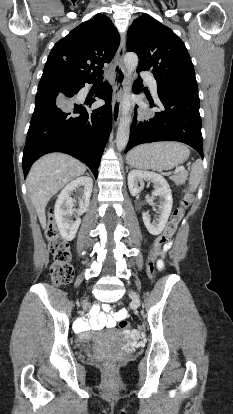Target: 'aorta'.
I'll use <instances>...</instances> for the list:
<instances>
[{"label":"aorta","mask_w":233,"mask_h":414,"mask_svg":"<svg viewBox=\"0 0 233 414\" xmlns=\"http://www.w3.org/2000/svg\"><path fill=\"white\" fill-rule=\"evenodd\" d=\"M138 65V56L133 52H128L124 56V66L126 69V76L128 78V86L124 89V96L122 100V117L120 118L117 136L116 146L118 151H122L126 148L130 135V81L132 73L135 71Z\"/></svg>","instance_id":"1"}]
</instances>
